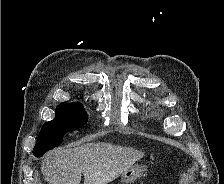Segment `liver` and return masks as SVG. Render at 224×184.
Masks as SVG:
<instances>
[{"label":"liver","mask_w":224,"mask_h":184,"mask_svg":"<svg viewBox=\"0 0 224 184\" xmlns=\"http://www.w3.org/2000/svg\"><path fill=\"white\" fill-rule=\"evenodd\" d=\"M144 153L110 143H87L74 148H58L47 155L41 172L49 184H107L140 160Z\"/></svg>","instance_id":"liver-1"}]
</instances>
